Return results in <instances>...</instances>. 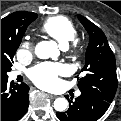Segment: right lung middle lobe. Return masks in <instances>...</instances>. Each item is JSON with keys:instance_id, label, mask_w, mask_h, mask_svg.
I'll return each instance as SVG.
<instances>
[{"instance_id": "1", "label": "right lung middle lobe", "mask_w": 121, "mask_h": 121, "mask_svg": "<svg viewBox=\"0 0 121 121\" xmlns=\"http://www.w3.org/2000/svg\"><path fill=\"white\" fill-rule=\"evenodd\" d=\"M37 18L17 25L5 34L3 41L9 45V53H1V79L8 78L7 72L11 70L14 54L19 47L27 26Z\"/></svg>"}]
</instances>
